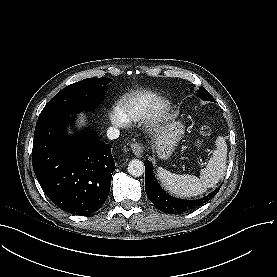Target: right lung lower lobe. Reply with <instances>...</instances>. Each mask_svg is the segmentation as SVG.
<instances>
[{
  "instance_id": "98d812e1",
  "label": "right lung lower lobe",
  "mask_w": 277,
  "mask_h": 277,
  "mask_svg": "<svg viewBox=\"0 0 277 277\" xmlns=\"http://www.w3.org/2000/svg\"><path fill=\"white\" fill-rule=\"evenodd\" d=\"M74 116L54 115L36 123L32 165L50 200L73 215H90L106 201L115 170L111 145L82 130L66 134Z\"/></svg>"
}]
</instances>
